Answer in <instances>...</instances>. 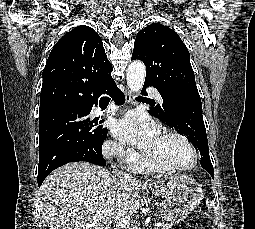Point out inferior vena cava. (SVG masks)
I'll return each mask as SVG.
<instances>
[{
	"mask_svg": "<svg viewBox=\"0 0 255 229\" xmlns=\"http://www.w3.org/2000/svg\"><path fill=\"white\" fill-rule=\"evenodd\" d=\"M113 168H115V167L113 166ZM115 173H116V175H118V176H122V177H125V178L130 177V175H129L128 173H125V172L119 171L118 169H115Z\"/></svg>",
	"mask_w": 255,
	"mask_h": 229,
	"instance_id": "inferior-vena-cava-1",
	"label": "inferior vena cava"
}]
</instances>
